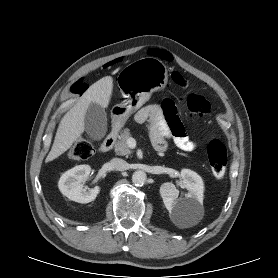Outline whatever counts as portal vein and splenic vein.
Returning <instances> with one entry per match:
<instances>
[{"label":"portal vein and splenic vein","mask_w":278,"mask_h":278,"mask_svg":"<svg viewBox=\"0 0 278 278\" xmlns=\"http://www.w3.org/2000/svg\"><path fill=\"white\" fill-rule=\"evenodd\" d=\"M128 142H129L130 144H132L133 146L136 145V141H135V139L132 138V137L128 139Z\"/></svg>","instance_id":"obj_1"}]
</instances>
